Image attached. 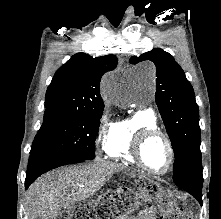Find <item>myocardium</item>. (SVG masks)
I'll return each mask as SVG.
<instances>
[{
	"label": "myocardium",
	"mask_w": 221,
	"mask_h": 219,
	"mask_svg": "<svg viewBox=\"0 0 221 219\" xmlns=\"http://www.w3.org/2000/svg\"><path fill=\"white\" fill-rule=\"evenodd\" d=\"M154 137L162 138L165 141L168 148L169 162L167 168L164 171L153 170L146 164L143 158V148L145 144ZM131 154L140 167H142L147 172L157 176H163L168 174L173 168L175 160V151L169 136L163 131L159 130L158 128L151 127L141 128L136 132L131 144Z\"/></svg>",
	"instance_id": "1"
}]
</instances>
